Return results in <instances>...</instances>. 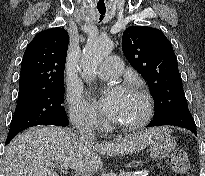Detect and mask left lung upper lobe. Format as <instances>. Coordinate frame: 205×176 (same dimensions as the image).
<instances>
[{"label":"left lung upper lobe","mask_w":205,"mask_h":176,"mask_svg":"<svg viewBox=\"0 0 205 176\" xmlns=\"http://www.w3.org/2000/svg\"><path fill=\"white\" fill-rule=\"evenodd\" d=\"M122 50L132 67L147 81L155 99L154 119L187 103L172 44L162 31L130 26L123 33Z\"/></svg>","instance_id":"obj_1"}]
</instances>
